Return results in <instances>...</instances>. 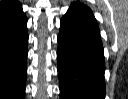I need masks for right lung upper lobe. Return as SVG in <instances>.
<instances>
[{
  "label": "right lung upper lobe",
  "mask_w": 128,
  "mask_h": 99,
  "mask_svg": "<svg viewBox=\"0 0 128 99\" xmlns=\"http://www.w3.org/2000/svg\"><path fill=\"white\" fill-rule=\"evenodd\" d=\"M20 5L17 0H3L0 2V15Z\"/></svg>",
  "instance_id": "obj_1"
}]
</instances>
